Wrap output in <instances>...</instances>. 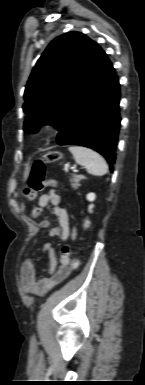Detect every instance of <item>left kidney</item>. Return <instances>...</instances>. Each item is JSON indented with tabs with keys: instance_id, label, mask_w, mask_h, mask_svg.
Instances as JSON below:
<instances>
[{
	"instance_id": "left-kidney-1",
	"label": "left kidney",
	"mask_w": 145,
	"mask_h": 385,
	"mask_svg": "<svg viewBox=\"0 0 145 385\" xmlns=\"http://www.w3.org/2000/svg\"><path fill=\"white\" fill-rule=\"evenodd\" d=\"M86 198H87L88 201L92 202V201L95 200L96 195L94 193H89V194H87ZM93 207H94L93 205L89 206V212H92V208Z\"/></svg>"
}]
</instances>
